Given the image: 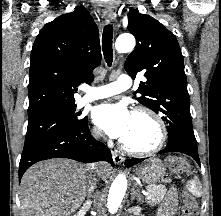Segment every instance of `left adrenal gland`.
<instances>
[{"label":"left adrenal gland","instance_id":"obj_1","mask_svg":"<svg viewBox=\"0 0 221 216\" xmlns=\"http://www.w3.org/2000/svg\"><path fill=\"white\" fill-rule=\"evenodd\" d=\"M137 184H134L132 191H131V201L133 202L135 199L137 200V203H140L142 201L140 190L137 189Z\"/></svg>","mask_w":221,"mask_h":216}]
</instances>
